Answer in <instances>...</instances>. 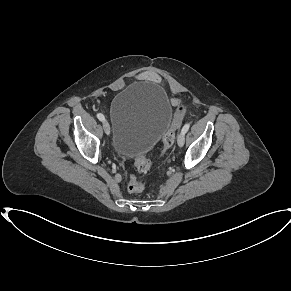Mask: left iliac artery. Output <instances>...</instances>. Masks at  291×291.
Listing matches in <instances>:
<instances>
[{
    "label": "left iliac artery",
    "mask_w": 291,
    "mask_h": 291,
    "mask_svg": "<svg viewBox=\"0 0 291 291\" xmlns=\"http://www.w3.org/2000/svg\"><path fill=\"white\" fill-rule=\"evenodd\" d=\"M190 124L187 123L184 125V127L182 128V132L185 134L188 130H189Z\"/></svg>",
    "instance_id": "left-iliac-artery-1"
}]
</instances>
